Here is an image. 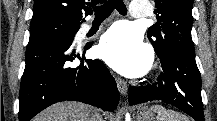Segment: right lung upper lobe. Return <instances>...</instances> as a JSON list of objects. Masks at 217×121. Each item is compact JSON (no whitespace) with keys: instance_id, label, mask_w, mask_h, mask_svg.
Masks as SVG:
<instances>
[{"instance_id":"obj_1","label":"right lung upper lobe","mask_w":217,"mask_h":121,"mask_svg":"<svg viewBox=\"0 0 217 121\" xmlns=\"http://www.w3.org/2000/svg\"><path fill=\"white\" fill-rule=\"evenodd\" d=\"M105 0H35L31 22L55 19L71 24L80 25L84 22L82 10L85 16L92 13L90 6L103 3Z\"/></svg>"}]
</instances>
